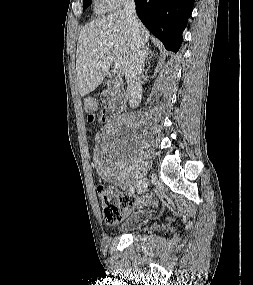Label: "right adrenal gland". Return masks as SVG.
<instances>
[{"label": "right adrenal gland", "mask_w": 253, "mask_h": 285, "mask_svg": "<svg viewBox=\"0 0 253 285\" xmlns=\"http://www.w3.org/2000/svg\"><path fill=\"white\" fill-rule=\"evenodd\" d=\"M153 57V54L151 53L149 47L146 48V61H145V64L148 63L149 59Z\"/></svg>", "instance_id": "obj_1"}]
</instances>
